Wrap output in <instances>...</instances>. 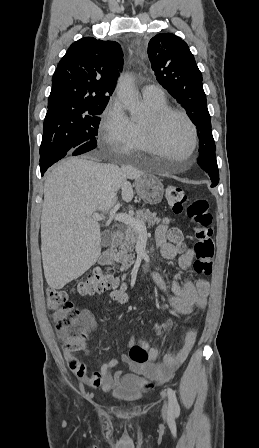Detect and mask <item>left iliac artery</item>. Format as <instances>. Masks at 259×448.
<instances>
[{
    "label": "left iliac artery",
    "instance_id": "obj_1",
    "mask_svg": "<svg viewBox=\"0 0 259 448\" xmlns=\"http://www.w3.org/2000/svg\"><path fill=\"white\" fill-rule=\"evenodd\" d=\"M167 394H168V399H169V407H170V409L174 410L175 415L178 416L180 413V407H179L174 390L171 388H168Z\"/></svg>",
    "mask_w": 259,
    "mask_h": 448
}]
</instances>
